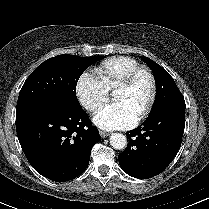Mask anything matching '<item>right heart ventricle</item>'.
<instances>
[{"mask_svg": "<svg viewBox=\"0 0 209 209\" xmlns=\"http://www.w3.org/2000/svg\"><path fill=\"white\" fill-rule=\"evenodd\" d=\"M139 63L130 57L117 56L102 62L96 69V73L108 90H114L125 76Z\"/></svg>", "mask_w": 209, "mask_h": 209, "instance_id": "right-heart-ventricle-1", "label": "right heart ventricle"}]
</instances>
